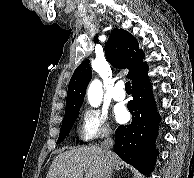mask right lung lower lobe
Masks as SVG:
<instances>
[{"label": "right lung lower lobe", "mask_w": 194, "mask_h": 178, "mask_svg": "<svg viewBox=\"0 0 194 178\" xmlns=\"http://www.w3.org/2000/svg\"><path fill=\"white\" fill-rule=\"evenodd\" d=\"M132 95L128 109L133 120L131 124L119 126L116 130L114 151L125 162L149 174L158 155L155 140L160 117L148 77L132 85Z\"/></svg>", "instance_id": "98d812e1"}]
</instances>
